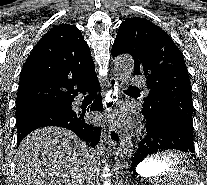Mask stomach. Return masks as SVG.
<instances>
[{"label": "stomach", "mask_w": 207, "mask_h": 185, "mask_svg": "<svg viewBox=\"0 0 207 185\" xmlns=\"http://www.w3.org/2000/svg\"><path fill=\"white\" fill-rule=\"evenodd\" d=\"M171 165L169 162L160 160L158 158H150L141 162L137 168V173L145 178L157 177L159 175H165L168 170H170Z\"/></svg>", "instance_id": "obj_1"}]
</instances>
